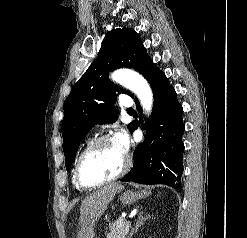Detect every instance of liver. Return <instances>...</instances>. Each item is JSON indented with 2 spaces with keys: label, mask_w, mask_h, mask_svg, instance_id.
I'll use <instances>...</instances> for the list:
<instances>
[{
  "label": "liver",
  "mask_w": 247,
  "mask_h": 238,
  "mask_svg": "<svg viewBox=\"0 0 247 238\" xmlns=\"http://www.w3.org/2000/svg\"><path fill=\"white\" fill-rule=\"evenodd\" d=\"M123 189V185L113 183L85 197L80 206L81 231L78 238H93L95 222L105 212L115 194Z\"/></svg>",
  "instance_id": "liver-1"
}]
</instances>
